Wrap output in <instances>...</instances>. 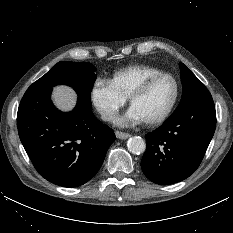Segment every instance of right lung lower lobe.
Segmentation results:
<instances>
[{
  "label": "right lung lower lobe",
  "mask_w": 233,
  "mask_h": 233,
  "mask_svg": "<svg viewBox=\"0 0 233 233\" xmlns=\"http://www.w3.org/2000/svg\"><path fill=\"white\" fill-rule=\"evenodd\" d=\"M51 91L29 87L25 92L17 113L19 137L45 179L77 187L98 172L115 134L79 99L71 112L56 109Z\"/></svg>",
  "instance_id": "obj_1"
}]
</instances>
